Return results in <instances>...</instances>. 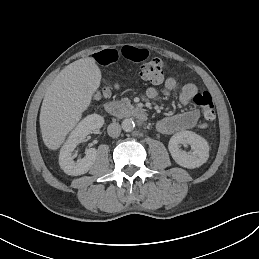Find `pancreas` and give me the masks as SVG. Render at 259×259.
I'll return each mask as SVG.
<instances>
[{
	"instance_id": "obj_1",
	"label": "pancreas",
	"mask_w": 259,
	"mask_h": 259,
	"mask_svg": "<svg viewBox=\"0 0 259 259\" xmlns=\"http://www.w3.org/2000/svg\"><path fill=\"white\" fill-rule=\"evenodd\" d=\"M121 101L125 104L126 107H128L130 109L133 108V106L131 105L130 100L128 98H123Z\"/></svg>"
}]
</instances>
